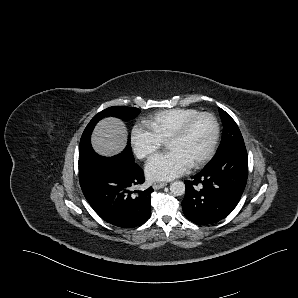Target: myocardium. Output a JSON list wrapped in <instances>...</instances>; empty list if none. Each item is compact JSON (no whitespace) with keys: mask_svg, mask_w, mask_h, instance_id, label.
I'll return each instance as SVG.
<instances>
[{"mask_svg":"<svg viewBox=\"0 0 298 298\" xmlns=\"http://www.w3.org/2000/svg\"><path fill=\"white\" fill-rule=\"evenodd\" d=\"M201 118H207L210 121L211 136H210V139H209V142L207 144L205 151L189 165V168H194L197 165H199L200 163H202L203 161H205L210 156V154L213 150V147H214V144H215V141L217 138V134H218V127H217V123H216L214 117L209 113L200 112L197 115H195L191 118H188V119L182 121L181 123H179L178 126L173 131H171L166 136V138L164 140V144L168 148L170 143L174 139H176L177 137L182 135L192 124H194L197 120H199Z\"/></svg>","mask_w":298,"mask_h":298,"instance_id":"myocardium-1","label":"myocardium"}]
</instances>
